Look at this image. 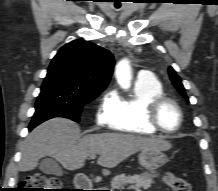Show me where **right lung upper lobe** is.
Wrapping results in <instances>:
<instances>
[{
	"label": "right lung upper lobe",
	"mask_w": 218,
	"mask_h": 191,
	"mask_svg": "<svg viewBox=\"0 0 218 191\" xmlns=\"http://www.w3.org/2000/svg\"><path fill=\"white\" fill-rule=\"evenodd\" d=\"M114 63L108 50L91 42L74 40L58 51L48 70L59 71L86 88L103 91Z\"/></svg>",
	"instance_id": "right-lung-upper-lobe-1"
}]
</instances>
